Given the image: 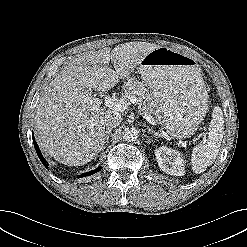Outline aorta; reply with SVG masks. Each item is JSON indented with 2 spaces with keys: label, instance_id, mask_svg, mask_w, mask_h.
<instances>
[{
  "label": "aorta",
  "instance_id": "1",
  "mask_svg": "<svg viewBox=\"0 0 247 247\" xmlns=\"http://www.w3.org/2000/svg\"><path fill=\"white\" fill-rule=\"evenodd\" d=\"M123 139L127 142H133L138 138V131L135 128H126L123 131Z\"/></svg>",
  "mask_w": 247,
  "mask_h": 247
}]
</instances>
